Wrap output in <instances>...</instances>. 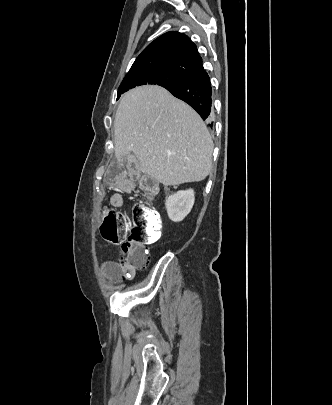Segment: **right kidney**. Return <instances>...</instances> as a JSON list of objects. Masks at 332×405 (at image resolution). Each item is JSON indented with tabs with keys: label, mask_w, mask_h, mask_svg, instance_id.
I'll return each instance as SVG.
<instances>
[{
	"label": "right kidney",
	"mask_w": 332,
	"mask_h": 405,
	"mask_svg": "<svg viewBox=\"0 0 332 405\" xmlns=\"http://www.w3.org/2000/svg\"><path fill=\"white\" fill-rule=\"evenodd\" d=\"M195 196L194 190H181L170 195L165 202L167 214L173 222L182 221L192 210Z\"/></svg>",
	"instance_id": "1"
}]
</instances>
